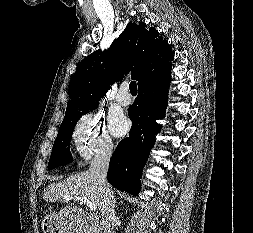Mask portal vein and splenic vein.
Returning <instances> with one entry per match:
<instances>
[{
	"instance_id": "18ae733b",
	"label": "portal vein and splenic vein",
	"mask_w": 253,
	"mask_h": 233,
	"mask_svg": "<svg viewBox=\"0 0 253 233\" xmlns=\"http://www.w3.org/2000/svg\"><path fill=\"white\" fill-rule=\"evenodd\" d=\"M76 199L80 201L81 204H85L90 210L95 211L97 209V205L95 203L90 202L87 198L82 196H64L65 201H69L72 199Z\"/></svg>"
}]
</instances>
